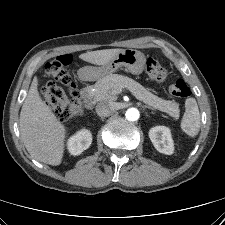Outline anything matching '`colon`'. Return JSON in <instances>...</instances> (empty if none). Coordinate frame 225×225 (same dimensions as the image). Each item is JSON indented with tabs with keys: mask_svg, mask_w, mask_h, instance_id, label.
Listing matches in <instances>:
<instances>
[{
	"mask_svg": "<svg viewBox=\"0 0 225 225\" xmlns=\"http://www.w3.org/2000/svg\"><path fill=\"white\" fill-rule=\"evenodd\" d=\"M71 63L70 55H60L46 64L47 74L55 80L69 87L68 94L54 81L47 82L41 90L43 100L47 107L55 111L63 119L79 117L84 114V105L77 92L66 67ZM147 73L156 80H163L167 71L161 61L156 57H150L146 62ZM169 94L175 98L185 100L190 97L191 90L185 81L179 79L169 87Z\"/></svg>",
	"mask_w": 225,
	"mask_h": 225,
	"instance_id": "5ec220e1",
	"label": "colon"
}]
</instances>
